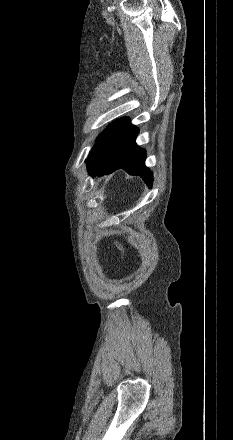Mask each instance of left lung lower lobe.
<instances>
[{
	"label": "left lung lower lobe",
	"instance_id": "left-lung-lower-lobe-1",
	"mask_svg": "<svg viewBox=\"0 0 233 440\" xmlns=\"http://www.w3.org/2000/svg\"><path fill=\"white\" fill-rule=\"evenodd\" d=\"M138 129L128 118H120L100 134L87 158L90 175L109 174L123 168L131 175L141 176L151 187L152 173L145 166V150L135 143Z\"/></svg>",
	"mask_w": 233,
	"mask_h": 440
}]
</instances>
